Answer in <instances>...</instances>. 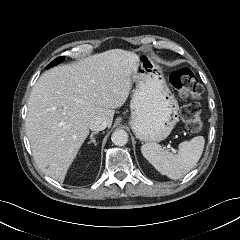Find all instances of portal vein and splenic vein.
I'll return each instance as SVG.
<instances>
[{"mask_svg": "<svg viewBox=\"0 0 240 240\" xmlns=\"http://www.w3.org/2000/svg\"><path fill=\"white\" fill-rule=\"evenodd\" d=\"M167 148H170L173 152H175V150L171 148L170 145H168Z\"/></svg>", "mask_w": 240, "mask_h": 240, "instance_id": "obj_1", "label": "portal vein and splenic vein"}]
</instances>
